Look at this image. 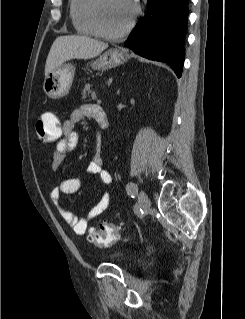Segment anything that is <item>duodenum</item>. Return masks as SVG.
<instances>
[{"mask_svg":"<svg viewBox=\"0 0 245 319\" xmlns=\"http://www.w3.org/2000/svg\"><path fill=\"white\" fill-rule=\"evenodd\" d=\"M97 122H98L101 129H106L108 127V119H107L105 112H102L98 116Z\"/></svg>","mask_w":245,"mask_h":319,"instance_id":"410a0bca","label":"duodenum"}]
</instances>
